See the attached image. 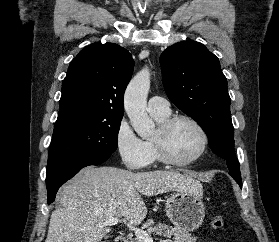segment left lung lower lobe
Instances as JSON below:
<instances>
[{"instance_id": "1", "label": "left lung lower lobe", "mask_w": 279, "mask_h": 242, "mask_svg": "<svg viewBox=\"0 0 279 242\" xmlns=\"http://www.w3.org/2000/svg\"><path fill=\"white\" fill-rule=\"evenodd\" d=\"M239 184V186L242 188V183H238Z\"/></svg>"}]
</instances>
